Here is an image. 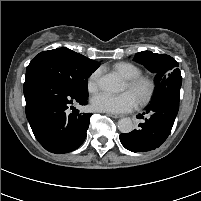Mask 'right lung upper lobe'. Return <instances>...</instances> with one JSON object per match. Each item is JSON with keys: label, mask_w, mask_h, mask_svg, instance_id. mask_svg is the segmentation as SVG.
Returning <instances> with one entry per match:
<instances>
[{"label": "right lung upper lobe", "mask_w": 201, "mask_h": 201, "mask_svg": "<svg viewBox=\"0 0 201 201\" xmlns=\"http://www.w3.org/2000/svg\"><path fill=\"white\" fill-rule=\"evenodd\" d=\"M70 51V55L71 57H73L78 63L82 64V65H85L87 67H90V68H94V69H97L100 64L96 61H93L79 53H76L70 49H68Z\"/></svg>", "instance_id": "cb5924a9"}]
</instances>
